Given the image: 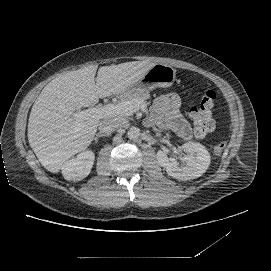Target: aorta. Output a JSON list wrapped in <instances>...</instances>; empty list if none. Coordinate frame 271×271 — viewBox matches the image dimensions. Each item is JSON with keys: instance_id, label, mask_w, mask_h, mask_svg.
Returning a JSON list of instances; mask_svg holds the SVG:
<instances>
[{"instance_id": "aorta-1", "label": "aorta", "mask_w": 271, "mask_h": 271, "mask_svg": "<svg viewBox=\"0 0 271 271\" xmlns=\"http://www.w3.org/2000/svg\"><path fill=\"white\" fill-rule=\"evenodd\" d=\"M140 135H141L140 129L134 126L130 127L127 132V136L130 140L138 139Z\"/></svg>"}]
</instances>
